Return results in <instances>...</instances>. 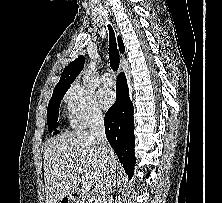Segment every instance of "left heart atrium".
Wrapping results in <instances>:
<instances>
[{"mask_svg": "<svg viewBox=\"0 0 222 203\" xmlns=\"http://www.w3.org/2000/svg\"><path fill=\"white\" fill-rule=\"evenodd\" d=\"M98 97L103 108L110 107L115 101V94L110 89H101L98 93Z\"/></svg>", "mask_w": 222, "mask_h": 203, "instance_id": "1", "label": "left heart atrium"}]
</instances>
